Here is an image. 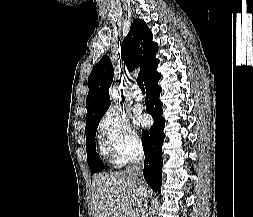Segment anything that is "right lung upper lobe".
Masks as SVG:
<instances>
[{
	"mask_svg": "<svg viewBox=\"0 0 253 217\" xmlns=\"http://www.w3.org/2000/svg\"><path fill=\"white\" fill-rule=\"evenodd\" d=\"M151 30L143 20L135 19L121 44V57L128 70L140 67L139 76L146 79L156 72L159 60L157 43L152 42ZM114 76L111 60L107 55L94 66L89 75V93L86 99V122L103 115L110 106L109 87Z\"/></svg>",
	"mask_w": 253,
	"mask_h": 217,
	"instance_id": "1",
	"label": "right lung upper lobe"
}]
</instances>
